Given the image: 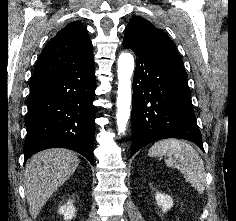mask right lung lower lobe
<instances>
[{
	"label": "right lung lower lobe",
	"mask_w": 236,
	"mask_h": 221,
	"mask_svg": "<svg viewBox=\"0 0 236 221\" xmlns=\"http://www.w3.org/2000/svg\"><path fill=\"white\" fill-rule=\"evenodd\" d=\"M30 88L25 162L39 151L62 147L79 152L93 164L94 67L33 81Z\"/></svg>",
	"instance_id": "obj_1"
}]
</instances>
